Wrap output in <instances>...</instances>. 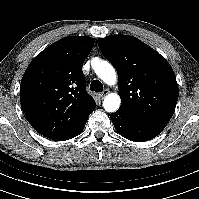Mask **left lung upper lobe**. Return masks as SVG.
Instances as JSON below:
<instances>
[{
  "label": "left lung upper lobe",
  "instance_id": "obj_1",
  "mask_svg": "<svg viewBox=\"0 0 199 199\" xmlns=\"http://www.w3.org/2000/svg\"><path fill=\"white\" fill-rule=\"evenodd\" d=\"M98 45L118 72L120 109L165 128L179 95L174 71L166 59L133 36L110 35L99 38Z\"/></svg>",
  "mask_w": 199,
  "mask_h": 199
}]
</instances>
